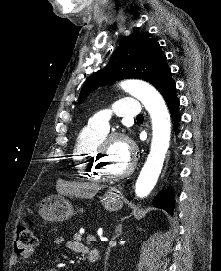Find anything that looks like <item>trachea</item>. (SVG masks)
Listing matches in <instances>:
<instances>
[{
    "instance_id": "trachea-1",
    "label": "trachea",
    "mask_w": 221,
    "mask_h": 271,
    "mask_svg": "<svg viewBox=\"0 0 221 271\" xmlns=\"http://www.w3.org/2000/svg\"><path fill=\"white\" fill-rule=\"evenodd\" d=\"M136 119H137V120H143V119H144V116H143V115H137Z\"/></svg>"
}]
</instances>
